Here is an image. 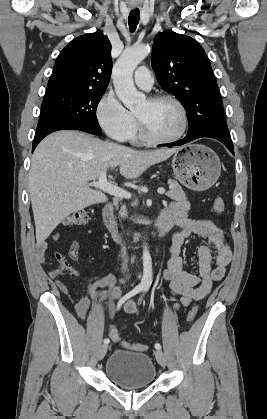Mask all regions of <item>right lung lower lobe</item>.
<instances>
[{
  "instance_id": "right-lung-lower-lobe-1",
  "label": "right lung lower lobe",
  "mask_w": 267,
  "mask_h": 419,
  "mask_svg": "<svg viewBox=\"0 0 267 419\" xmlns=\"http://www.w3.org/2000/svg\"><path fill=\"white\" fill-rule=\"evenodd\" d=\"M80 130L93 135L101 133V128L96 129L90 126L82 125L77 122H73L68 118L51 113L48 111H42L38 121L37 130L32 145V152L38 145V143L48 134L58 130Z\"/></svg>"
}]
</instances>
